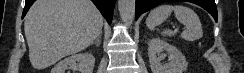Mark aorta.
I'll list each match as a JSON object with an SVG mask.
<instances>
[{
  "mask_svg": "<svg viewBox=\"0 0 244 73\" xmlns=\"http://www.w3.org/2000/svg\"><path fill=\"white\" fill-rule=\"evenodd\" d=\"M118 10L122 21L130 25L135 16V0H118Z\"/></svg>",
  "mask_w": 244,
  "mask_h": 73,
  "instance_id": "1",
  "label": "aorta"
}]
</instances>
